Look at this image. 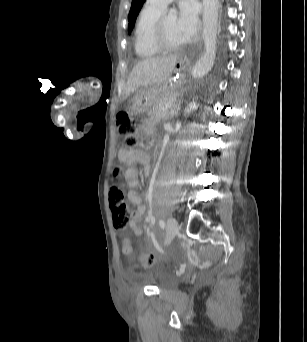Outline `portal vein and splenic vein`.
I'll list each match as a JSON object with an SVG mask.
<instances>
[{"label":"portal vein and splenic vein","instance_id":"1","mask_svg":"<svg viewBox=\"0 0 307 342\" xmlns=\"http://www.w3.org/2000/svg\"><path fill=\"white\" fill-rule=\"evenodd\" d=\"M163 109H164L165 111H169V110H171L172 108L169 107V106H165Z\"/></svg>","mask_w":307,"mask_h":342}]
</instances>
